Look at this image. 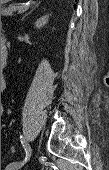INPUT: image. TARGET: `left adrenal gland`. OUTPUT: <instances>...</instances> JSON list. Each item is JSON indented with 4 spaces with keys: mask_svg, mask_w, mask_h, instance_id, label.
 <instances>
[{
    "mask_svg": "<svg viewBox=\"0 0 109 170\" xmlns=\"http://www.w3.org/2000/svg\"><path fill=\"white\" fill-rule=\"evenodd\" d=\"M37 5H38V4H37ZM37 5H36V6H37ZM36 6H35V7H36ZM35 7H34L33 9H31L27 14H25V16L29 15V14L35 9ZM25 16H24V17H25ZM24 17H23V19H24Z\"/></svg>",
    "mask_w": 109,
    "mask_h": 170,
    "instance_id": "obj_1",
    "label": "left adrenal gland"
}]
</instances>
